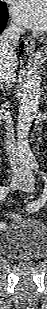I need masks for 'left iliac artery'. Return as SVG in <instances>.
<instances>
[{
	"instance_id": "left-iliac-artery-1",
	"label": "left iliac artery",
	"mask_w": 47,
	"mask_h": 309,
	"mask_svg": "<svg viewBox=\"0 0 47 309\" xmlns=\"http://www.w3.org/2000/svg\"><path fill=\"white\" fill-rule=\"evenodd\" d=\"M31 168L37 169L38 164L36 162H33L31 164ZM41 173L43 174V172H41ZM44 178H45V176H44ZM45 201H46V194H43L41 199H39V200L31 203L30 205H28V210L32 211V212L39 210V208H41L44 205Z\"/></svg>"
}]
</instances>
